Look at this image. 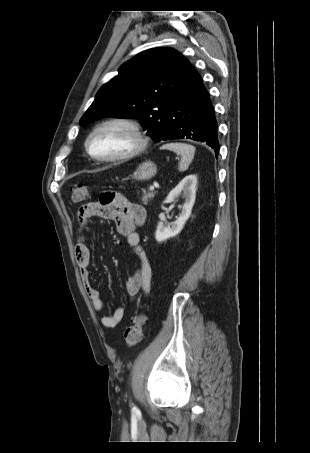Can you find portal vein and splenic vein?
Segmentation results:
<instances>
[{
	"label": "portal vein and splenic vein",
	"instance_id": "1",
	"mask_svg": "<svg viewBox=\"0 0 310 453\" xmlns=\"http://www.w3.org/2000/svg\"><path fill=\"white\" fill-rule=\"evenodd\" d=\"M155 190V185H151L150 186V191H154Z\"/></svg>",
	"mask_w": 310,
	"mask_h": 453
}]
</instances>
